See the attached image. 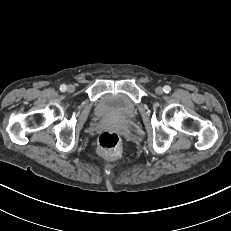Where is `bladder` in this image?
I'll return each mask as SVG.
<instances>
[{
  "instance_id": "obj_1",
  "label": "bladder",
  "mask_w": 231,
  "mask_h": 231,
  "mask_svg": "<svg viewBox=\"0 0 231 231\" xmlns=\"http://www.w3.org/2000/svg\"><path fill=\"white\" fill-rule=\"evenodd\" d=\"M95 112L98 116L121 122H128L136 115L135 104L122 94L108 93L97 102Z\"/></svg>"
}]
</instances>
